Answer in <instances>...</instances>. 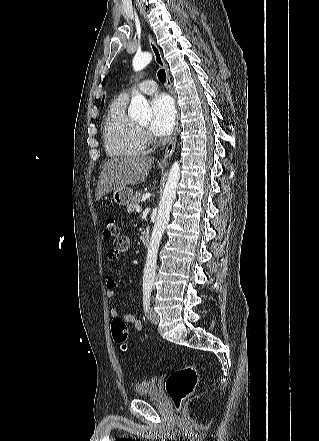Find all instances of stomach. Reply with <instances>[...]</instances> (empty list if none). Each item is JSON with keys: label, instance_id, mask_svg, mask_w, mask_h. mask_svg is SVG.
<instances>
[{"label": "stomach", "instance_id": "0dacf381", "mask_svg": "<svg viewBox=\"0 0 319 441\" xmlns=\"http://www.w3.org/2000/svg\"><path fill=\"white\" fill-rule=\"evenodd\" d=\"M112 198L118 205H128L133 198V190L129 187L117 189L113 192Z\"/></svg>", "mask_w": 319, "mask_h": 441}]
</instances>
